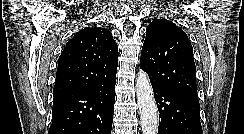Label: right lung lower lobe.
<instances>
[{
    "label": "right lung lower lobe",
    "instance_id": "1",
    "mask_svg": "<svg viewBox=\"0 0 244 134\" xmlns=\"http://www.w3.org/2000/svg\"><path fill=\"white\" fill-rule=\"evenodd\" d=\"M115 84L116 77L95 88L54 95L48 134H110Z\"/></svg>",
    "mask_w": 244,
    "mask_h": 134
}]
</instances>
